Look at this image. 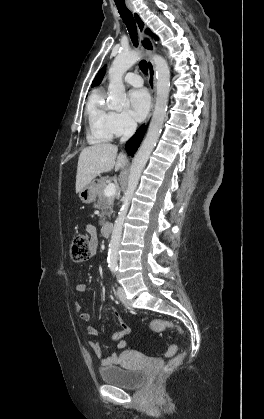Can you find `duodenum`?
<instances>
[{
    "instance_id": "duodenum-1",
    "label": "duodenum",
    "mask_w": 264,
    "mask_h": 419,
    "mask_svg": "<svg viewBox=\"0 0 264 419\" xmlns=\"http://www.w3.org/2000/svg\"><path fill=\"white\" fill-rule=\"evenodd\" d=\"M113 231V224L111 222H107L102 227V235L104 237H109Z\"/></svg>"
}]
</instances>
